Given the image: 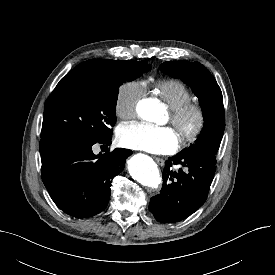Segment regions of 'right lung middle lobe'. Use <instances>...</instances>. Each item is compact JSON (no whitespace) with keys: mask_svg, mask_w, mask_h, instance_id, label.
<instances>
[{"mask_svg":"<svg viewBox=\"0 0 275 275\" xmlns=\"http://www.w3.org/2000/svg\"><path fill=\"white\" fill-rule=\"evenodd\" d=\"M146 61H119L107 74L64 77L44 105L40 152L112 138L119 87L149 71Z\"/></svg>","mask_w":275,"mask_h":275,"instance_id":"1","label":"right lung middle lobe"}]
</instances>
